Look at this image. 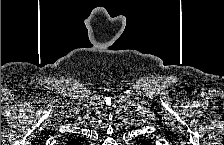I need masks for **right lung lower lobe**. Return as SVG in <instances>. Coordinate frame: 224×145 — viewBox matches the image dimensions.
<instances>
[{
	"label": "right lung lower lobe",
	"instance_id": "98d812e1",
	"mask_svg": "<svg viewBox=\"0 0 224 145\" xmlns=\"http://www.w3.org/2000/svg\"><path fill=\"white\" fill-rule=\"evenodd\" d=\"M74 145H79L78 141L73 142Z\"/></svg>",
	"mask_w": 224,
	"mask_h": 145
}]
</instances>
